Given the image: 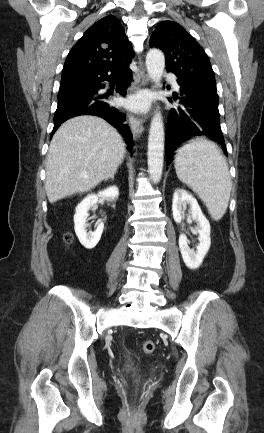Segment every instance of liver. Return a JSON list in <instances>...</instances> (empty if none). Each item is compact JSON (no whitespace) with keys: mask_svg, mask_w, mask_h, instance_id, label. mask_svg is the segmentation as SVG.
I'll return each mask as SVG.
<instances>
[{"mask_svg":"<svg viewBox=\"0 0 264 433\" xmlns=\"http://www.w3.org/2000/svg\"><path fill=\"white\" fill-rule=\"evenodd\" d=\"M124 154L122 137L105 120L78 116L66 121L54 134L47 155L49 202L95 188L117 171Z\"/></svg>","mask_w":264,"mask_h":433,"instance_id":"obj_1","label":"liver"}]
</instances>
